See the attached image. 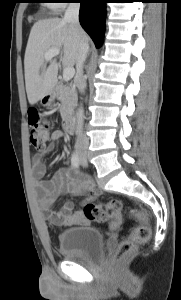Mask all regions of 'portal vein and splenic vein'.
I'll use <instances>...</instances> for the list:
<instances>
[{"instance_id": "18ae733b", "label": "portal vein and splenic vein", "mask_w": 181, "mask_h": 300, "mask_svg": "<svg viewBox=\"0 0 181 300\" xmlns=\"http://www.w3.org/2000/svg\"><path fill=\"white\" fill-rule=\"evenodd\" d=\"M60 54V49L53 48L47 51L44 55L45 61H50L53 57L58 56ZM75 69L73 67H66L63 70V79L65 81H69L74 77Z\"/></svg>"}]
</instances>
